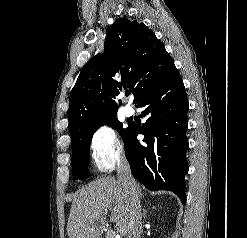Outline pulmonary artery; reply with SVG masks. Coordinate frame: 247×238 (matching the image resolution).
I'll return each mask as SVG.
<instances>
[{
    "label": "pulmonary artery",
    "instance_id": "1",
    "mask_svg": "<svg viewBox=\"0 0 247 238\" xmlns=\"http://www.w3.org/2000/svg\"><path fill=\"white\" fill-rule=\"evenodd\" d=\"M123 113L126 115V116H131L133 113H134V110H133V108L131 107V106H129V105H125L124 107H123Z\"/></svg>",
    "mask_w": 247,
    "mask_h": 238
}]
</instances>
